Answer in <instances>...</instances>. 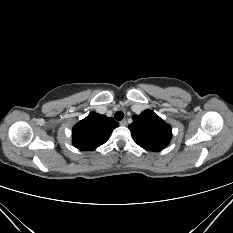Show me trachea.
I'll return each instance as SVG.
<instances>
[{"mask_svg":"<svg viewBox=\"0 0 233 233\" xmlns=\"http://www.w3.org/2000/svg\"><path fill=\"white\" fill-rule=\"evenodd\" d=\"M114 117H115L116 120L120 121V120H122L124 118V113L121 112V111H118V112L115 113Z\"/></svg>","mask_w":233,"mask_h":233,"instance_id":"trachea-1","label":"trachea"}]
</instances>
